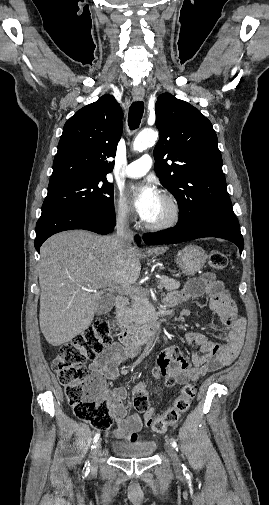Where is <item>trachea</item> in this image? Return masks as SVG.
<instances>
[{
    "label": "trachea",
    "instance_id": "3493384b",
    "mask_svg": "<svg viewBox=\"0 0 269 505\" xmlns=\"http://www.w3.org/2000/svg\"><path fill=\"white\" fill-rule=\"evenodd\" d=\"M144 112V103L142 101L133 102L129 108L128 125L131 130L139 127Z\"/></svg>",
    "mask_w": 269,
    "mask_h": 505
}]
</instances>
